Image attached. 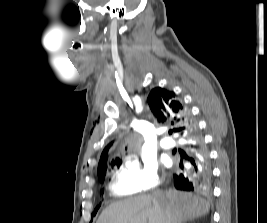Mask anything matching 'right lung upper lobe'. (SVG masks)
Returning a JSON list of instances; mask_svg holds the SVG:
<instances>
[{
	"label": "right lung upper lobe",
	"instance_id": "obj_1",
	"mask_svg": "<svg viewBox=\"0 0 267 223\" xmlns=\"http://www.w3.org/2000/svg\"><path fill=\"white\" fill-rule=\"evenodd\" d=\"M147 102L157 121L174 127L173 130L179 133L182 138H185L196 124L188 108L179 101L173 91L156 87L151 90ZM108 147L103 150L98 164L99 179L107 170L105 158ZM115 162L119 164L118 159L112 160V164Z\"/></svg>",
	"mask_w": 267,
	"mask_h": 223
}]
</instances>
